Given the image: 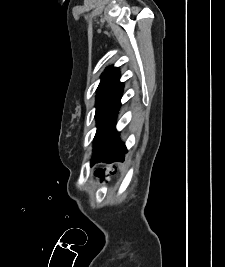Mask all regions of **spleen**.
Here are the masks:
<instances>
[{
	"instance_id": "3e777b00",
	"label": "spleen",
	"mask_w": 225,
	"mask_h": 267,
	"mask_svg": "<svg viewBox=\"0 0 225 267\" xmlns=\"http://www.w3.org/2000/svg\"><path fill=\"white\" fill-rule=\"evenodd\" d=\"M120 170H121V171L124 170V166H123V165L120 166Z\"/></svg>"
}]
</instances>
